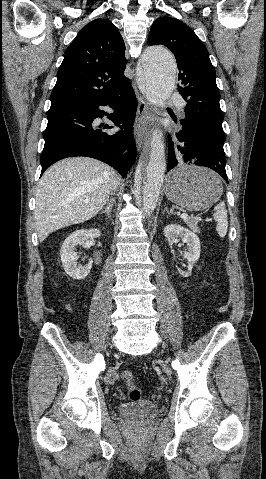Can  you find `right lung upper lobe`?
Returning <instances> with one entry per match:
<instances>
[{
    "label": "right lung upper lobe",
    "instance_id": "obj_1",
    "mask_svg": "<svg viewBox=\"0 0 266 479\" xmlns=\"http://www.w3.org/2000/svg\"><path fill=\"white\" fill-rule=\"evenodd\" d=\"M125 43L108 19L84 26L64 52L51 105L108 95L126 86Z\"/></svg>",
    "mask_w": 266,
    "mask_h": 479
}]
</instances>
